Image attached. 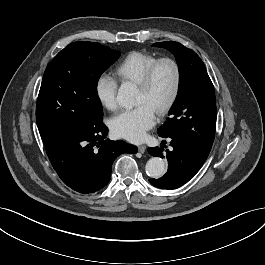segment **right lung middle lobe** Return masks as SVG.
Listing matches in <instances>:
<instances>
[{
    "label": "right lung middle lobe",
    "mask_w": 265,
    "mask_h": 265,
    "mask_svg": "<svg viewBox=\"0 0 265 265\" xmlns=\"http://www.w3.org/2000/svg\"><path fill=\"white\" fill-rule=\"evenodd\" d=\"M119 56V51L99 43L78 41L53 58L44 72L36 106L44 143L89 129L102 120L97 83Z\"/></svg>",
    "instance_id": "obj_1"
}]
</instances>
